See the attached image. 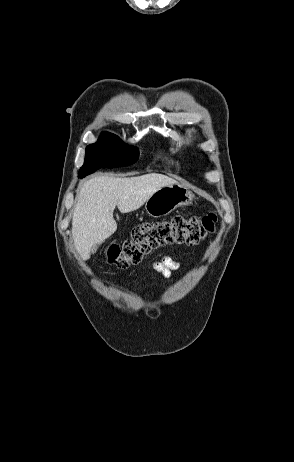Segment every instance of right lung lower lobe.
Masks as SVG:
<instances>
[{
    "label": "right lung lower lobe",
    "instance_id": "right-lung-lower-lobe-1",
    "mask_svg": "<svg viewBox=\"0 0 294 462\" xmlns=\"http://www.w3.org/2000/svg\"><path fill=\"white\" fill-rule=\"evenodd\" d=\"M118 165V161L112 156L98 153L90 159V169L85 174L80 175L79 178H83L101 167L113 168L118 167Z\"/></svg>",
    "mask_w": 294,
    "mask_h": 462
}]
</instances>
